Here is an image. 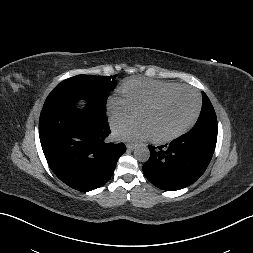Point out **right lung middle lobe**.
Wrapping results in <instances>:
<instances>
[{"mask_svg": "<svg viewBox=\"0 0 253 253\" xmlns=\"http://www.w3.org/2000/svg\"><path fill=\"white\" fill-rule=\"evenodd\" d=\"M114 76L77 75L59 83L49 94L44 105L71 102L80 98L88 100L89 106L105 114L109 92L116 82Z\"/></svg>", "mask_w": 253, "mask_h": 253, "instance_id": "dd1d6c3e", "label": "right lung middle lobe"}]
</instances>
